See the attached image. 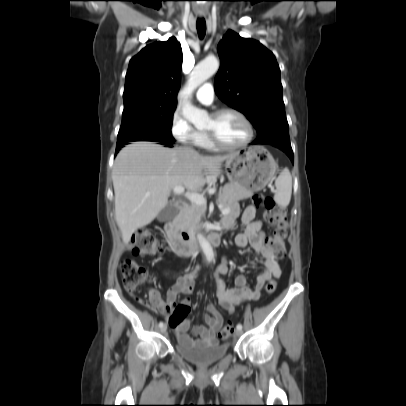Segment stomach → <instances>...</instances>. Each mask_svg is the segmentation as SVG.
Segmentation results:
<instances>
[{
	"label": "stomach",
	"mask_w": 406,
	"mask_h": 406,
	"mask_svg": "<svg viewBox=\"0 0 406 406\" xmlns=\"http://www.w3.org/2000/svg\"><path fill=\"white\" fill-rule=\"evenodd\" d=\"M276 170L277 163L263 146L237 151L225 163L230 183L251 192L262 190L272 180Z\"/></svg>",
	"instance_id": "stomach-1"
}]
</instances>
